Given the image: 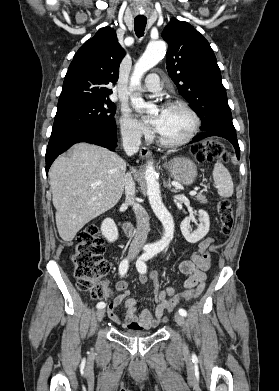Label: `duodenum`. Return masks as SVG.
Returning <instances> with one entry per match:
<instances>
[{
  "label": "duodenum",
  "mask_w": 279,
  "mask_h": 391,
  "mask_svg": "<svg viewBox=\"0 0 279 391\" xmlns=\"http://www.w3.org/2000/svg\"><path fill=\"white\" fill-rule=\"evenodd\" d=\"M123 230L128 235L131 236L133 234V226L130 222L125 221L123 223Z\"/></svg>",
  "instance_id": "obj_1"
}]
</instances>
